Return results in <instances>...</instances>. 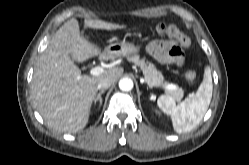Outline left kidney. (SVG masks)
I'll list each match as a JSON object with an SVG mask.
<instances>
[{
    "mask_svg": "<svg viewBox=\"0 0 249 165\" xmlns=\"http://www.w3.org/2000/svg\"><path fill=\"white\" fill-rule=\"evenodd\" d=\"M156 113L160 114L159 111L155 110Z\"/></svg>",
    "mask_w": 249,
    "mask_h": 165,
    "instance_id": "5707ae66",
    "label": "left kidney"
}]
</instances>
